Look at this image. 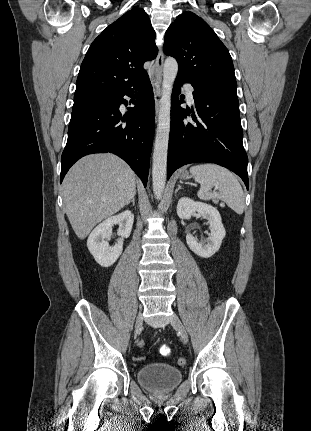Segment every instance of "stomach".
<instances>
[{
    "mask_svg": "<svg viewBox=\"0 0 311 431\" xmlns=\"http://www.w3.org/2000/svg\"><path fill=\"white\" fill-rule=\"evenodd\" d=\"M191 176H189V172H181L180 174V180H189Z\"/></svg>",
    "mask_w": 311,
    "mask_h": 431,
    "instance_id": "1",
    "label": "stomach"
}]
</instances>
